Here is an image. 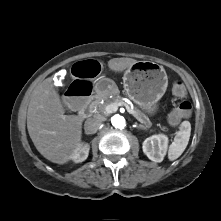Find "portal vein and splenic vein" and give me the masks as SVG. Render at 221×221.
I'll list each match as a JSON object with an SVG mask.
<instances>
[{
    "instance_id": "obj_1",
    "label": "portal vein and splenic vein",
    "mask_w": 221,
    "mask_h": 221,
    "mask_svg": "<svg viewBox=\"0 0 221 221\" xmlns=\"http://www.w3.org/2000/svg\"><path fill=\"white\" fill-rule=\"evenodd\" d=\"M121 106V104L112 103L106 106L105 111L107 113H113L118 110V107ZM127 111L131 114V112L127 109Z\"/></svg>"
}]
</instances>
